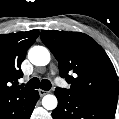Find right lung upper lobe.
I'll return each instance as SVG.
<instances>
[{"mask_svg": "<svg viewBox=\"0 0 119 119\" xmlns=\"http://www.w3.org/2000/svg\"><path fill=\"white\" fill-rule=\"evenodd\" d=\"M38 35V30L0 35V101L31 90L18 85L17 79L23 76L21 63Z\"/></svg>", "mask_w": 119, "mask_h": 119, "instance_id": "right-lung-upper-lobe-1", "label": "right lung upper lobe"}]
</instances>
